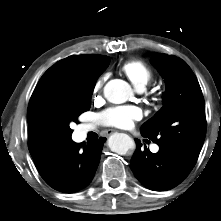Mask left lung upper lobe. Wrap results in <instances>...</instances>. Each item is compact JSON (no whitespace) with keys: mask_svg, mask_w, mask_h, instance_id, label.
<instances>
[{"mask_svg":"<svg viewBox=\"0 0 221 221\" xmlns=\"http://www.w3.org/2000/svg\"><path fill=\"white\" fill-rule=\"evenodd\" d=\"M166 82L163 107L141 126V134L195 165L206 134L205 102L191 68L166 54L152 57Z\"/></svg>","mask_w":221,"mask_h":221,"instance_id":"obj_1","label":"left lung upper lobe"}]
</instances>
